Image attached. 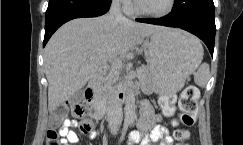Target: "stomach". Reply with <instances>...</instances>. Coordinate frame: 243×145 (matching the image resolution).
I'll return each mask as SVG.
<instances>
[{
  "instance_id": "0dacf381",
  "label": "stomach",
  "mask_w": 243,
  "mask_h": 145,
  "mask_svg": "<svg viewBox=\"0 0 243 145\" xmlns=\"http://www.w3.org/2000/svg\"><path fill=\"white\" fill-rule=\"evenodd\" d=\"M144 48L152 75L150 86L157 93L170 94L180 91L197 68L202 46L193 35L167 28L148 36Z\"/></svg>"
}]
</instances>
